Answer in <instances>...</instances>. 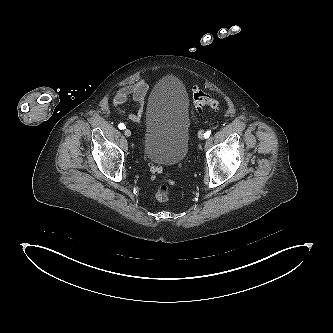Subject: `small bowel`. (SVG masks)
I'll return each mask as SVG.
<instances>
[{
	"label": "small bowel",
	"mask_w": 333,
	"mask_h": 333,
	"mask_svg": "<svg viewBox=\"0 0 333 333\" xmlns=\"http://www.w3.org/2000/svg\"><path fill=\"white\" fill-rule=\"evenodd\" d=\"M148 91V85L141 80L132 85L121 88L113 98V106L122 116L128 117L134 122H140L144 112V102ZM128 102H134L137 109L134 112H128L124 105Z\"/></svg>",
	"instance_id": "small-bowel-1"
}]
</instances>
